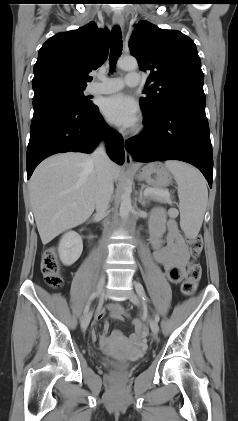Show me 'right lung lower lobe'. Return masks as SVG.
Segmentation results:
<instances>
[{
  "label": "right lung lower lobe",
  "instance_id": "right-lung-lower-lobe-1",
  "mask_svg": "<svg viewBox=\"0 0 238 421\" xmlns=\"http://www.w3.org/2000/svg\"><path fill=\"white\" fill-rule=\"evenodd\" d=\"M34 115L27 148V178L46 157L63 152L90 153L105 138L110 158L123 164V138L108 128L97 106L87 110L53 91L34 94Z\"/></svg>",
  "mask_w": 238,
  "mask_h": 421
}]
</instances>
